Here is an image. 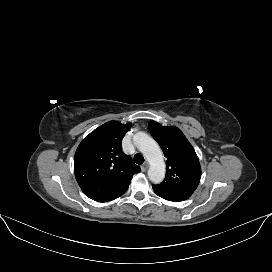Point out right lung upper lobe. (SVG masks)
Masks as SVG:
<instances>
[{"label":"right lung upper lobe","mask_w":272,"mask_h":272,"mask_svg":"<svg viewBox=\"0 0 272 272\" xmlns=\"http://www.w3.org/2000/svg\"><path fill=\"white\" fill-rule=\"evenodd\" d=\"M131 123L109 121L91 132L78 146L74 157L76 180L89 198L107 202L121 196L132 176L140 172L122 152L121 142Z\"/></svg>","instance_id":"cb5924a9"}]
</instances>
